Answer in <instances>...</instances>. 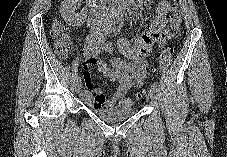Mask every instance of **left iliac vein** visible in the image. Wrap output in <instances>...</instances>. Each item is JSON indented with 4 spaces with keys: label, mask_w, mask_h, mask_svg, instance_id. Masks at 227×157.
Instances as JSON below:
<instances>
[{
    "label": "left iliac vein",
    "mask_w": 227,
    "mask_h": 157,
    "mask_svg": "<svg viewBox=\"0 0 227 157\" xmlns=\"http://www.w3.org/2000/svg\"><path fill=\"white\" fill-rule=\"evenodd\" d=\"M148 96L153 102H155L157 100V91L151 88Z\"/></svg>",
    "instance_id": "left-iliac-vein-1"
}]
</instances>
